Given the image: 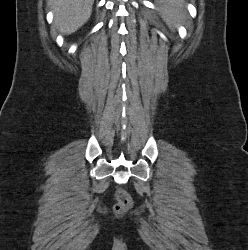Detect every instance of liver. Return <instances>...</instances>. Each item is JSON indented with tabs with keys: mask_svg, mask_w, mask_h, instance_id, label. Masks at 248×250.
Returning a JSON list of instances; mask_svg holds the SVG:
<instances>
[{
	"mask_svg": "<svg viewBox=\"0 0 248 250\" xmlns=\"http://www.w3.org/2000/svg\"><path fill=\"white\" fill-rule=\"evenodd\" d=\"M54 24L64 34H71L91 16L94 0H50Z\"/></svg>",
	"mask_w": 248,
	"mask_h": 250,
	"instance_id": "obj_1",
	"label": "liver"
}]
</instances>
